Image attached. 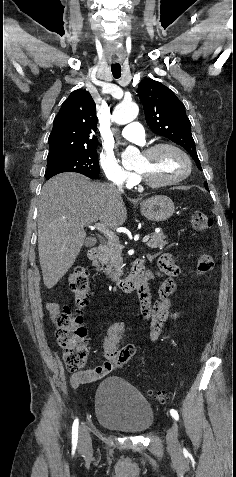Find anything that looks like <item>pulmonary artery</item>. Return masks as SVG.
I'll return each instance as SVG.
<instances>
[{"label": "pulmonary artery", "mask_w": 236, "mask_h": 477, "mask_svg": "<svg viewBox=\"0 0 236 477\" xmlns=\"http://www.w3.org/2000/svg\"><path fill=\"white\" fill-rule=\"evenodd\" d=\"M121 135L130 141L137 143L145 142V132L142 125L138 122H130L121 129Z\"/></svg>", "instance_id": "e3ab8cb5"}]
</instances>
